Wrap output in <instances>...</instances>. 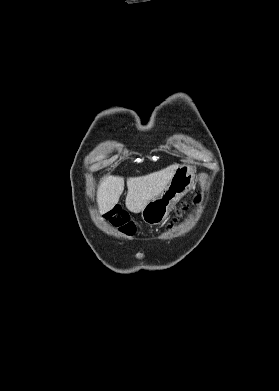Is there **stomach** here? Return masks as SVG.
<instances>
[{
    "mask_svg": "<svg viewBox=\"0 0 279 391\" xmlns=\"http://www.w3.org/2000/svg\"><path fill=\"white\" fill-rule=\"evenodd\" d=\"M195 182V174L189 165H181L167 187L141 211L143 221L149 225L162 223L175 204L191 190Z\"/></svg>",
    "mask_w": 279,
    "mask_h": 391,
    "instance_id": "0dacf381",
    "label": "stomach"
}]
</instances>
